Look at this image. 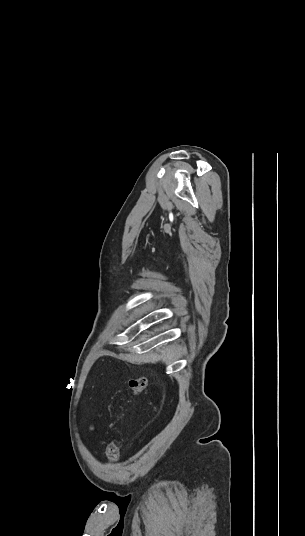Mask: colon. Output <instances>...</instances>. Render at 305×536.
<instances>
[{
    "label": "colon",
    "mask_w": 305,
    "mask_h": 536,
    "mask_svg": "<svg viewBox=\"0 0 305 536\" xmlns=\"http://www.w3.org/2000/svg\"><path fill=\"white\" fill-rule=\"evenodd\" d=\"M129 387L134 395H140L145 392L147 381L144 377L131 378L129 381ZM118 446V438L112 439L108 445V458L111 462L115 461L118 456Z\"/></svg>",
    "instance_id": "1"
}]
</instances>
